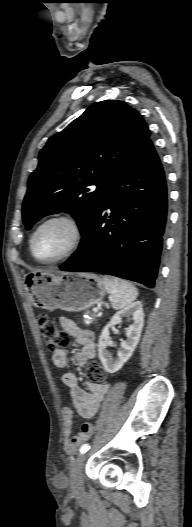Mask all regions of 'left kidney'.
Instances as JSON below:
<instances>
[{"label":"left kidney","instance_id":"5707ae66","mask_svg":"<svg viewBox=\"0 0 192 527\" xmlns=\"http://www.w3.org/2000/svg\"><path fill=\"white\" fill-rule=\"evenodd\" d=\"M132 316L133 324L126 329L127 339L121 343V348L117 353V358L111 357L107 351L110 340L109 328L122 322L123 317ZM144 325V312L141 302L137 301L118 311L110 320V322L103 328L99 337V359L102 362L104 369L108 373H115L122 368L132 356L141 336Z\"/></svg>","mask_w":192,"mask_h":527}]
</instances>
